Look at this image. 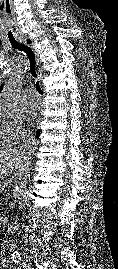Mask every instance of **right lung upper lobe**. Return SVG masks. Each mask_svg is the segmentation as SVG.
<instances>
[{"mask_svg":"<svg viewBox=\"0 0 118 269\" xmlns=\"http://www.w3.org/2000/svg\"><path fill=\"white\" fill-rule=\"evenodd\" d=\"M2 89H3V85L0 87V92H1Z\"/></svg>","mask_w":118,"mask_h":269,"instance_id":"right-lung-upper-lobe-1","label":"right lung upper lobe"}]
</instances>
